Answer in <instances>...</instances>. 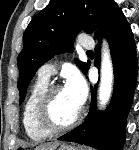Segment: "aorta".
<instances>
[{"label":"aorta","instance_id":"aorta-1","mask_svg":"<svg viewBox=\"0 0 139 150\" xmlns=\"http://www.w3.org/2000/svg\"><path fill=\"white\" fill-rule=\"evenodd\" d=\"M113 66L109 47L106 41H103V52L101 57V78L99 87V106L103 109L109 102L113 90Z\"/></svg>","mask_w":139,"mask_h":150}]
</instances>
